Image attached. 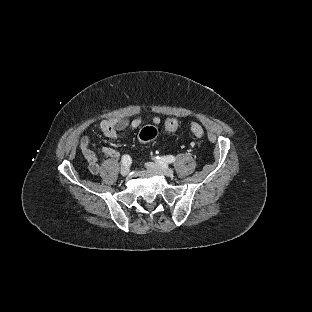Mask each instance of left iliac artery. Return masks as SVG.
Instances as JSON below:
<instances>
[{
    "instance_id": "obj_1",
    "label": "left iliac artery",
    "mask_w": 312,
    "mask_h": 312,
    "mask_svg": "<svg viewBox=\"0 0 312 312\" xmlns=\"http://www.w3.org/2000/svg\"><path fill=\"white\" fill-rule=\"evenodd\" d=\"M156 161L160 164V165H164L165 163H172L175 161V157L172 155H168V156H164V157H156Z\"/></svg>"
}]
</instances>
